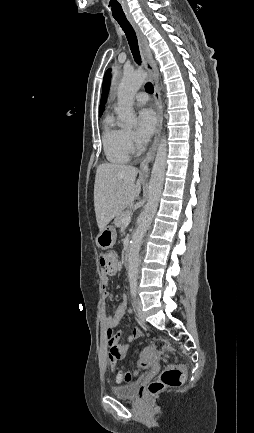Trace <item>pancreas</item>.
I'll use <instances>...</instances> for the list:
<instances>
[{
  "label": "pancreas",
  "instance_id": "1",
  "mask_svg": "<svg viewBox=\"0 0 254 433\" xmlns=\"http://www.w3.org/2000/svg\"><path fill=\"white\" fill-rule=\"evenodd\" d=\"M128 215H130V211L129 210H124V211H121L120 213H118L116 215L115 219H114L115 226L118 227V228L122 227L123 226L122 220H123V218L125 216H128Z\"/></svg>",
  "mask_w": 254,
  "mask_h": 433
}]
</instances>
